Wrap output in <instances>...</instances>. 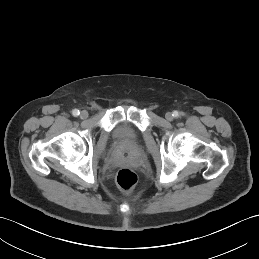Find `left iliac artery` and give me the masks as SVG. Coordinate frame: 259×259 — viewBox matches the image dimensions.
Listing matches in <instances>:
<instances>
[{
  "instance_id": "44dca946",
  "label": "left iliac artery",
  "mask_w": 259,
  "mask_h": 259,
  "mask_svg": "<svg viewBox=\"0 0 259 259\" xmlns=\"http://www.w3.org/2000/svg\"><path fill=\"white\" fill-rule=\"evenodd\" d=\"M173 116H174V117H178V116H179V112H178V111H174V112H173Z\"/></svg>"
}]
</instances>
